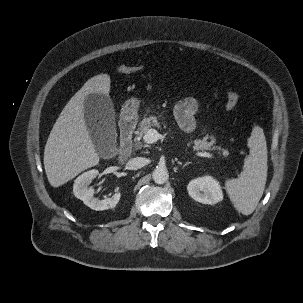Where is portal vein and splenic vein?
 <instances>
[{"label": "portal vein and splenic vein", "mask_w": 303, "mask_h": 303, "mask_svg": "<svg viewBox=\"0 0 303 303\" xmlns=\"http://www.w3.org/2000/svg\"><path fill=\"white\" fill-rule=\"evenodd\" d=\"M165 135L159 134L155 129H149L143 136V140L147 144H152L157 140L164 139ZM198 157H206V158H213V154L209 152H197L195 154Z\"/></svg>", "instance_id": "portal-vein-and-splenic-vein-1"}]
</instances>
